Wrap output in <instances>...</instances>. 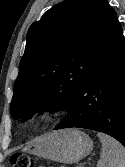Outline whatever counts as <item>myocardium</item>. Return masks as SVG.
<instances>
[{
	"mask_svg": "<svg viewBox=\"0 0 125 167\" xmlns=\"http://www.w3.org/2000/svg\"><path fill=\"white\" fill-rule=\"evenodd\" d=\"M46 117H47V112H43L42 115L39 118V121L43 122L46 119Z\"/></svg>",
	"mask_w": 125,
	"mask_h": 167,
	"instance_id": "obj_1",
	"label": "myocardium"
}]
</instances>
